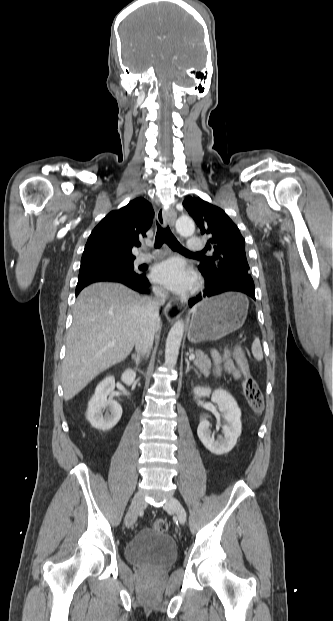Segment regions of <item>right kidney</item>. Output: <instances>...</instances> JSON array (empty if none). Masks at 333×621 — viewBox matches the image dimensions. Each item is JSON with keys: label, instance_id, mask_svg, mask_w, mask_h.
I'll return each mask as SVG.
<instances>
[{"label": "right kidney", "instance_id": "ca27d5eb", "mask_svg": "<svg viewBox=\"0 0 333 621\" xmlns=\"http://www.w3.org/2000/svg\"><path fill=\"white\" fill-rule=\"evenodd\" d=\"M135 377V371L128 369L122 374L121 380L125 384L131 385ZM114 388L115 379L113 376L106 377L96 387L95 394L90 399L86 412V419L92 427L109 431L119 422L122 415L121 405L115 400L107 399ZM105 409L107 412L103 415Z\"/></svg>", "mask_w": 333, "mask_h": 621}]
</instances>
